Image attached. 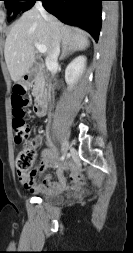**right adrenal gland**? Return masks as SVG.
Instances as JSON below:
<instances>
[{
    "instance_id": "right-adrenal-gland-1",
    "label": "right adrenal gland",
    "mask_w": 133,
    "mask_h": 253,
    "mask_svg": "<svg viewBox=\"0 0 133 253\" xmlns=\"http://www.w3.org/2000/svg\"><path fill=\"white\" fill-rule=\"evenodd\" d=\"M72 51H73L72 48H68L67 45H65L64 43H62V54L60 56V60H62L65 57H67L69 54H71Z\"/></svg>"
}]
</instances>
